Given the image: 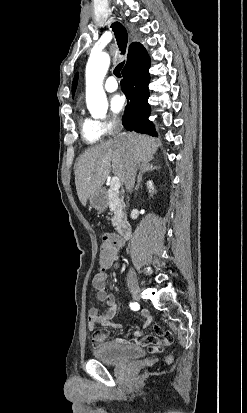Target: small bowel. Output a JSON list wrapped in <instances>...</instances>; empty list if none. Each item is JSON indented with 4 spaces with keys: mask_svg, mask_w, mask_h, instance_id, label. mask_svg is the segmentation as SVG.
Listing matches in <instances>:
<instances>
[{
    "mask_svg": "<svg viewBox=\"0 0 247 413\" xmlns=\"http://www.w3.org/2000/svg\"><path fill=\"white\" fill-rule=\"evenodd\" d=\"M116 259V254L114 256ZM112 265V263L106 268L96 273L92 279V286L96 290V297L99 301L106 304V308L103 312H100L97 306H92L88 310L87 325L88 329L93 332L92 346L94 348L102 347L103 349H112L114 343L112 340H106L108 333L106 331H96V328L101 326L103 328H112L119 330L120 327L112 323V320L119 309V304L113 294L109 293L106 289L107 272L106 270ZM118 264H113V268H117ZM141 315L144 319V326L150 323L152 319L151 313L143 309ZM152 331H156L154 335L147 336V341L141 342L142 348H150V352L154 353L155 349H168L170 343L174 341V331L168 330L167 334L164 329H160L159 322H152L150 325ZM143 331H130L128 341L122 338L115 339L117 348H135L138 346L136 336H143Z\"/></svg>",
    "mask_w": 247,
    "mask_h": 413,
    "instance_id": "c3829d8e",
    "label": "small bowel"
}]
</instances>
